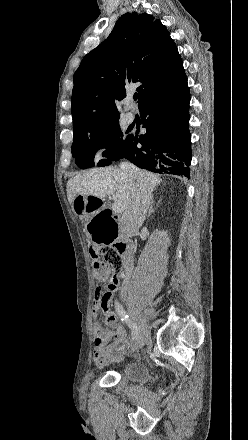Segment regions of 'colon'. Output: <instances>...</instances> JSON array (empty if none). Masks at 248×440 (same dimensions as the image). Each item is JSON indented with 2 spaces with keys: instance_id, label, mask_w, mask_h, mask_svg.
Wrapping results in <instances>:
<instances>
[{
  "instance_id": "colon-1",
  "label": "colon",
  "mask_w": 248,
  "mask_h": 440,
  "mask_svg": "<svg viewBox=\"0 0 248 440\" xmlns=\"http://www.w3.org/2000/svg\"><path fill=\"white\" fill-rule=\"evenodd\" d=\"M93 269L95 277L99 281L110 280L113 277L115 267H122V259L119 252L112 246H101L92 250ZM119 273V272H118ZM96 298L104 305L108 303L110 296L96 289Z\"/></svg>"
}]
</instances>
